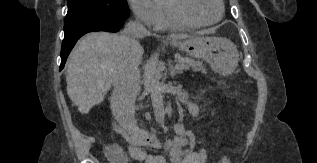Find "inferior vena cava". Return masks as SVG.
Instances as JSON below:
<instances>
[{"mask_svg": "<svg viewBox=\"0 0 317 163\" xmlns=\"http://www.w3.org/2000/svg\"><path fill=\"white\" fill-rule=\"evenodd\" d=\"M149 32L139 22H129L123 31L127 37L128 45L136 44L135 38L147 36ZM140 73L137 62L124 64L114 79V90L111 96V109L115 119L120 125L135 135L139 131L135 119V99L139 89Z\"/></svg>", "mask_w": 317, "mask_h": 163, "instance_id": "inferior-vena-cava-1", "label": "inferior vena cava"}]
</instances>
